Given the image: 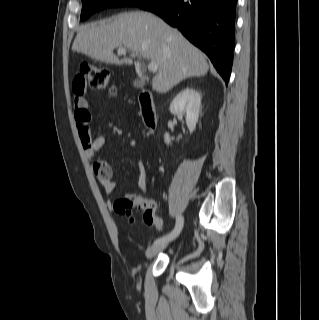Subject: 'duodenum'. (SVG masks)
Segmentation results:
<instances>
[{"label":"duodenum","mask_w":319,"mask_h":320,"mask_svg":"<svg viewBox=\"0 0 319 320\" xmlns=\"http://www.w3.org/2000/svg\"><path fill=\"white\" fill-rule=\"evenodd\" d=\"M139 103L141 107V114L146 126L149 129L154 130L156 128L157 120L152 95L148 90H143L140 93Z\"/></svg>","instance_id":"1"}]
</instances>
